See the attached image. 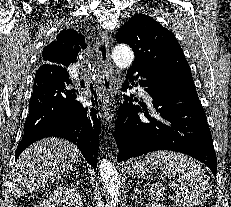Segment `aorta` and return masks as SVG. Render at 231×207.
<instances>
[{
  "label": "aorta",
  "instance_id": "762f6f07",
  "mask_svg": "<svg viewBox=\"0 0 231 207\" xmlns=\"http://www.w3.org/2000/svg\"><path fill=\"white\" fill-rule=\"evenodd\" d=\"M112 59L117 67L129 68L134 61V53L127 45H118L112 53ZM111 115L108 119L112 118ZM99 172L102 184L108 194L107 207H116L120 198V175L114 164L106 159L99 160Z\"/></svg>",
  "mask_w": 231,
  "mask_h": 207
}]
</instances>
